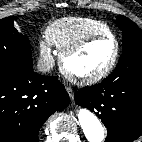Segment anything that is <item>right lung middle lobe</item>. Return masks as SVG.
Instances as JSON below:
<instances>
[{"instance_id":"right-lung-middle-lobe-1","label":"right lung middle lobe","mask_w":142,"mask_h":142,"mask_svg":"<svg viewBox=\"0 0 142 142\" xmlns=\"http://www.w3.org/2000/svg\"><path fill=\"white\" fill-rule=\"evenodd\" d=\"M13 20V16L0 20V71L33 70L28 37L14 28Z\"/></svg>"}]
</instances>
